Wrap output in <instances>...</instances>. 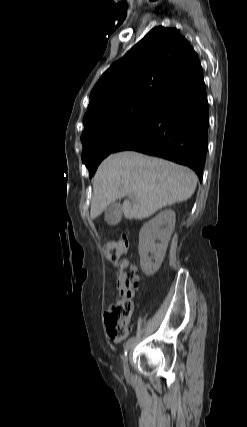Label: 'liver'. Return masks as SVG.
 <instances>
[{
    "label": "liver",
    "mask_w": 247,
    "mask_h": 427,
    "mask_svg": "<svg viewBox=\"0 0 247 427\" xmlns=\"http://www.w3.org/2000/svg\"><path fill=\"white\" fill-rule=\"evenodd\" d=\"M90 216L98 217L118 198L124 200L125 218H148L163 207L188 200L197 185V176L189 168L134 151L108 156L93 178Z\"/></svg>",
    "instance_id": "liver-1"
}]
</instances>
